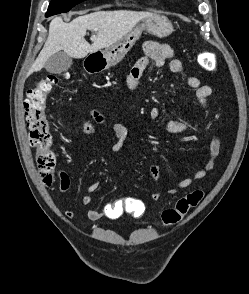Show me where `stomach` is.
Here are the masks:
<instances>
[{
    "label": "stomach",
    "mask_w": 249,
    "mask_h": 294,
    "mask_svg": "<svg viewBox=\"0 0 249 294\" xmlns=\"http://www.w3.org/2000/svg\"><path fill=\"white\" fill-rule=\"evenodd\" d=\"M144 30L158 37H166L172 33L173 27L169 19L163 15L153 14L143 19L141 24L137 25L118 42L98 52V54L95 53L100 60L102 69H108L118 64L140 38Z\"/></svg>",
    "instance_id": "0dacf381"
}]
</instances>
